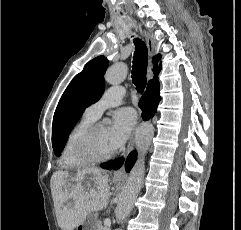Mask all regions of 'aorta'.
I'll return each mask as SVG.
<instances>
[{
    "instance_id": "obj_1",
    "label": "aorta",
    "mask_w": 241,
    "mask_h": 230,
    "mask_svg": "<svg viewBox=\"0 0 241 230\" xmlns=\"http://www.w3.org/2000/svg\"><path fill=\"white\" fill-rule=\"evenodd\" d=\"M126 75L127 65L123 62H118L106 71L104 79L110 85H117L126 78ZM153 135L154 129L150 123H143L136 132L135 146L138 157L118 198L115 208V216L118 223H122L130 214L142 188L145 174V155L151 145Z\"/></svg>"
}]
</instances>
